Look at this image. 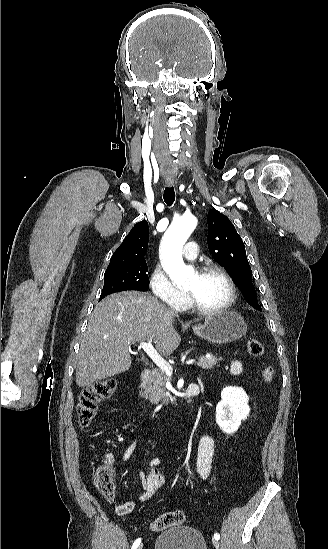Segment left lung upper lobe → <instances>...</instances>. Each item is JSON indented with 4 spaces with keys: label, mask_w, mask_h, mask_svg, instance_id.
<instances>
[{
    "label": "left lung upper lobe",
    "mask_w": 328,
    "mask_h": 549,
    "mask_svg": "<svg viewBox=\"0 0 328 549\" xmlns=\"http://www.w3.org/2000/svg\"><path fill=\"white\" fill-rule=\"evenodd\" d=\"M207 243L216 262L233 278L248 303L258 306L244 243L231 221L215 209L208 213Z\"/></svg>",
    "instance_id": "obj_1"
}]
</instances>
